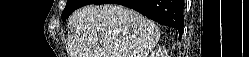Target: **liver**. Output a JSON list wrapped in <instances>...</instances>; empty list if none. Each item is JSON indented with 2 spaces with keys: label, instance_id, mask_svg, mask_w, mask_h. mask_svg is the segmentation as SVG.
<instances>
[{
  "label": "liver",
  "instance_id": "liver-1",
  "mask_svg": "<svg viewBox=\"0 0 249 57\" xmlns=\"http://www.w3.org/2000/svg\"><path fill=\"white\" fill-rule=\"evenodd\" d=\"M69 22L71 57H148L160 38L155 23L117 4L87 5Z\"/></svg>",
  "mask_w": 249,
  "mask_h": 57
}]
</instances>
